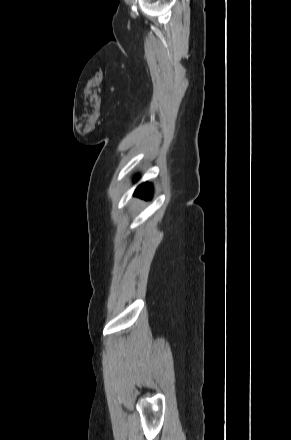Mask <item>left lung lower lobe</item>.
I'll use <instances>...</instances> for the list:
<instances>
[{
  "instance_id": "left-lung-lower-lobe-1",
  "label": "left lung lower lobe",
  "mask_w": 291,
  "mask_h": 440,
  "mask_svg": "<svg viewBox=\"0 0 291 440\" xmlns=\"http://www.w3.org/2000/svg\"><path fill=\"white\" fill-rule=\"evenodd\" d=\"M152 187L149 184H141L135 191L134 195L149 200L151 197Z\"/></svg>"
}]
</instances>
